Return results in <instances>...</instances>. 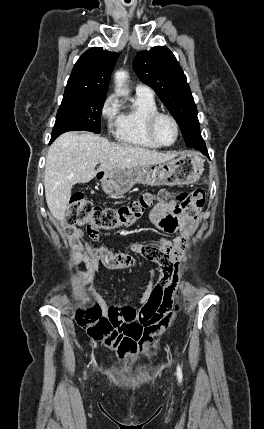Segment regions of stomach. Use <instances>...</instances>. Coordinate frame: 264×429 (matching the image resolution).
<instances>
[{
	"label": "stomach",
	"mask_w": 264,
	"mask_h": 429,
	"mask_svg": "<svg viewBox=\"0 0 264 429\" xmlns=\"http://www.w3.org/2000/svg\"><path fill=\"white\" fill-rule=\"evenodd\" d=\"M204 160L196 152H184L178 158L161 164L136 166L130 169L98 171L96 176L103 191L111 197L126 194L135 184L188 185L199 180Z\"/></svg>",
	"instance_id": "obj_1"
}]
</instances>
